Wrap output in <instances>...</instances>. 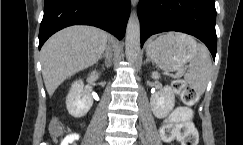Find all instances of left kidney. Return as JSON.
Masks as SVG:
<instances>
[{
    "label": "left kidney",
    "mask_w": 243,
    "mask_h": 145,
    "mask_svg": "<svg viewBox=\"0 0 243 145\" xmlns=\"http://www.w3.org/2000/svg\"><path fill=\"white\" fill-rule=\"evenodd\" d=\"M151 77L159 79L160 75L153 72ZM151 110L155 117L162 119L166 117L175 106V96L170 86H165L162 90L151 96Z\"/></svg>",
    "instance_id": "obj_1"
}]
</instances>
